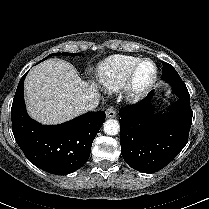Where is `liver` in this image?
Segmentation results:
<instances>
[{
    "label": "liver",
    "mask_w": 209,
    "mask_h": 209,
    "mask_svg": "<svg viewBox=\"0 0 209 209\" xmlns=\"http://www.w3.org/2000/svg\"><path fill=\"white\" fill-rule=\"evenodd\" d=\"M95 82L83 81L72 64L57 58L33 67L25 83L28 114L43 124H60L83 112L78 108L99 98Z\"/></svg>",
    "instance_id": "6515ba94"
}]
</instances>
